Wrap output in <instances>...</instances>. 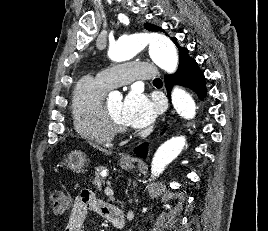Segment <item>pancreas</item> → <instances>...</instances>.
<instances>
[{
  "instance_id": "pancreas-1",
  "label": "pancreas",
  "mask_w": 268,
  "mask_h": 231,
  "mask_svg": "<svg viewBox=\"0 0 268 231\" xmlns=\"http://www.w3.org/2000/svg\"><path fill=\"white\" fill-rule=\"evenodd\" d=\"M102 170H104V167H102V166L96 167L95 179H94V182H93V184H94L99 190H101V189H102V185L105 184V181H104V179H103L102 176H101V171H102Z\"/></svg>"
}]
</instances>
